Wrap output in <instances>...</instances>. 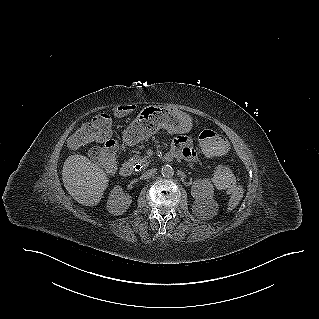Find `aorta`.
<instances>
[{
	"instance_id": "762f6f07",
	"label": "aorta",
	"mask_w": 319,
	"mask_h": 319,
	"mask_svg": "<svg viewBox=\"0 0 319 319\" xmlns=\"http://www.w3.org/2000/svg\"><path fill=\"white\" fill-rule=\"evenodd\" d=\"M161 175L165 178H170L174 175V169L170 165H164L161 168Z\"/></svg>"
}]
</instances>
